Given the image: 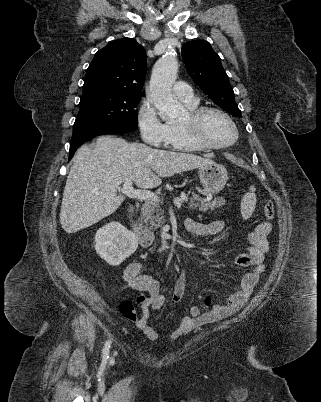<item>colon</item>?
I'll use <instances>...</instances> for the list:
<instances>
[{
	"label": "colon",
	"mask_w": 321,
	"mask_h": 402,
	"mask_svg": "<svg viewBox=\"0 0 321 402\" xmlns=\"http://www.w3.org/2000/svg\"><path fill=\"white\" fill-rule=\"evenodd\" d=\"M263 211H264V215L266 218H268V219L273 218L274 205L270 200L265 201V203L263 205ZM144 300H145L144 296H139L137 298L138 303H142V302H144ZM120 312L122 313V315L124 317H126L127 319H130V320H135L137 317L133 303L128 300H125L121 303Z\"/></svg>",
	"instance_id": "1"
}]
</instances>
